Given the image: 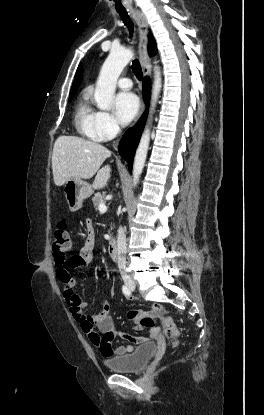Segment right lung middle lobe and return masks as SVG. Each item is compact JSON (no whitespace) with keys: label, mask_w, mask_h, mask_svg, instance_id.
Returning <instances> with one entry per match:
<instances>
[{"label":"right lung middle lobe","mask_w":264,"mask_h":415,"mask_svg":"<svg viewBox=\"0 0 264 415\" xmlns=\"http://www.w3.org/2000/svg\"><path fill=\"white\" fill-rule=\"evenodd\" d=\"M73 97H74V96H69V101H70V100H72V98H73Z\"/></svg>","instance_id":"1"}]
</instances>
